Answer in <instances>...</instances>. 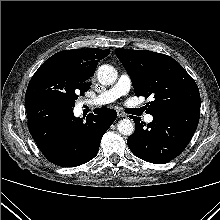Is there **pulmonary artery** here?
Listing matches in <instances>:
<instances>
[{"mask_svg":"<svg viewBox=\"0 0 220 220\" xmlns=\"http://www.w3.org/2000/svg\"><path fill=\"white\" fill-rule=\"evenodd\" d=\"M130 89V77L127 74H122L118 81L111 88L102 92L95 98L88 100L87 103L90 105H106L114 102L121 96L128 94ZM144 120L149 123L153 120V116L148 114L145 116Z\"/></svg>","mask_w":220,"mask_h":220,"instance_id":"obj_1","label":"pulmonary artery"}]
</instances>
